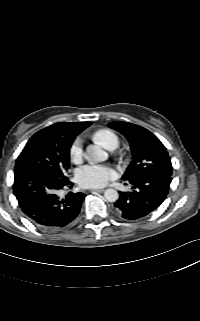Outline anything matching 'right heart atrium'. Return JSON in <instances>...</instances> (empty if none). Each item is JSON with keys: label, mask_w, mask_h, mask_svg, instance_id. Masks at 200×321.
I'll return each mask as SVG.
<instances>
[{"label": "right heart atrium", "mask_w": 200, "mask_h": 321, "mask_svg": "<svg viewBox=\"0 0 200 321\" xmlns=\"http://www.w3.org/2000/svg\"><path fill=\"white\" fill-rule=\"evenodd\" d=\"M69 155L74 163H79L82 160L83 148L82 143L79 139H76L72 142L69 149Z\"/></svg>", "instance_id": "1"}]
</instances>
